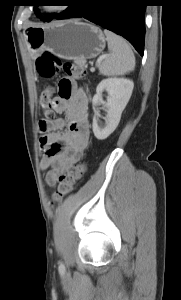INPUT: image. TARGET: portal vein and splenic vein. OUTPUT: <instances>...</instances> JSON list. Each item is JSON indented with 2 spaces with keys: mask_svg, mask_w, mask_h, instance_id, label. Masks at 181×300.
Instances as JSON below:
<instances>
[{
  "mask_svg": "<svg viewBox=\"0 0 181 300\" xmlns=\"http://www.w3.org/2000/svg\"><path fill=\"white\" fill-rule=\"evenodd\" d=\"M100 62H101V61L99 60L97 63L100 64ZM90 70H91V72H94V71H95V68L92 67Z\"/></svg>",
  "mask_w": 181,
  "mask_h": 300,
  "instance_id": "1",
  "label": "portal vein and splenic vein"
}]
</instances>
